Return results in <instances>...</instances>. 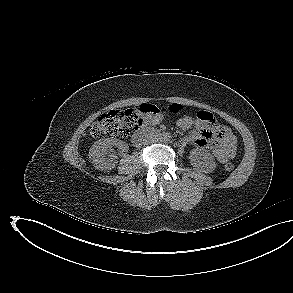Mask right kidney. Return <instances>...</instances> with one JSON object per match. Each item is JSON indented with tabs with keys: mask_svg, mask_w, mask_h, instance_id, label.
<instances>
[{
	"mask_svg": "<svg viewBox=\"0 0 293 293\" xmlns=\"http://www.w3.org/2000/svg\"><path fill=\"white\" fill-rule=\"evenodd\" d=\"M116 146L125 152L128 146L125 142L116 138H105L96 141L89 150V159L93 166L99 170H111L117 165V156L114 155L112 147Z\"/></svg>",
	"mask_w": 293,
	"mask_h": 293,
	"instance_id": "ca27d5eb",
	"label": "right kidney"
}]
</instances>
